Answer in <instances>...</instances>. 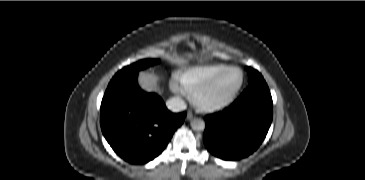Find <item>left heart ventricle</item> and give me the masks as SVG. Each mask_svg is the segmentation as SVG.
<instances>
[{
	"mask_svg": "<svg viewBox=\"0 0 365 180\" xmlns=\"http://www.w3.org/2000/svg\"><path fill=\"white\" fill-rule=\"evenodd\" d=\"M241 74L237 70H230L221 75L215 83L203 92L200 101L204 104H213L229 98L238 87Z\"/></svg>",
	"mask_w": 365,
	"mask_h": 180,
	"instance_id": "b2bd125f",
	"label": "left heart ventricle"
}]
</instances>
